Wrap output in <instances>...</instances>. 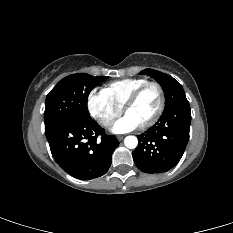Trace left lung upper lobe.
I'll return each instance as SVG.
<instances>
[{
	"label": "left lung upper lobe",
	"mask_w": 233,
	"mask_h": 233,
	"mask_svg": "<svg viewBox=\"0 0 233 233\" xmlns=\"http://www.w3.org/2000/svg\"><path fill=\"white\" fill-rule=\"evenodd\" d=\"M140 74L150 75L162 86L165 94V109L186 98L182 86L172 76L153 69H145Z\"/></svg>",
	"instance_id": "left-lung-upper-lobe-1"
}]
</instances>
